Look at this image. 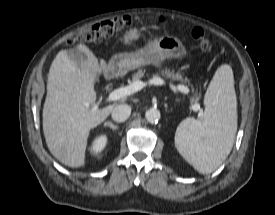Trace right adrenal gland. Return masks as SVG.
Returning a JSON list of instances; mask_svg holds the SVG:
<instances>
[{"mask_svg":"<svg viewBox=\"0 0 275 215\" xmlns=\"http://www.w3.org/2000/svg\"><path fill=\"white\" fill-rule=\"evenodd\" d=\"M104 126H105V127H106V126L109 127V128L112 129L113 131L119 129V127L116 126V125H114L112 122H105V123H104Z\"/></svg>","mask_w":275,"mask_h":215,"instance_id":"1","label":"right adrenal gland"}]
</instances>
